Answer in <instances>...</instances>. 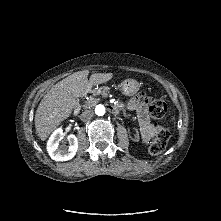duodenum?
I'll list each match as a JSON object with an SVG mask.
<instances>
[{
    "instance_id": "obj_1",
    "label": "duodenum",
    "mask_w": 221,
    "mask_h": 221,
    "mask_svg": "<svg viewBox=\"0 0 221 221\" xmlns=\"http://www.w3.org/2000/svg\"><path fill=\"white\" fill-rule=\"evenodd\" d=\"M79 108H80V105L77 106L76 110L78 111ZM110 109H111L112 113H118L120 111V107L117 105H111Z\"/></svg>"
}]
</instances>
